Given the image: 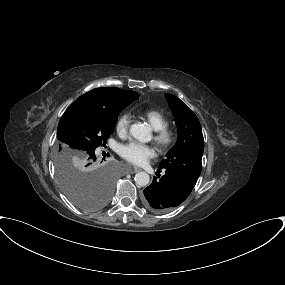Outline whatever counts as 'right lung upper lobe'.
Listing matches in <instances>:
<instances>
[{"label":"right lung upper lobe","mask_w":285,"mask_h":285,"mask_svg":"<svg viewBox=\"0 0 285 285\" xmlns=\"http://www.w3.org/2000/svg\"><path fill=\"white\" fill-rule=\"evenodd\" d=\"M133 91H125L119 88H96L84 95L80 96L74 103L86 102L93 103L97 105L108 106L111 99L114 97L131 93Z\"/></svg>","instance_id":"right-lung-upper-lobe-1"}]
</instances>
